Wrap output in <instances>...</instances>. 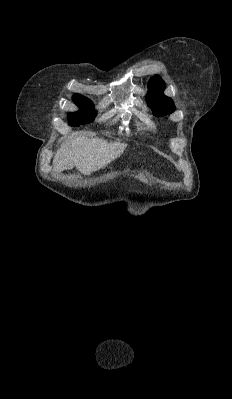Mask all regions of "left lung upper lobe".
<instances>
[{"label":"left lung upper lobe","mask_w":232,"mask_h":399,"mask_svg":"<svg viewBox=\"0 0 232 399\" xmlns=\"http://www.w3.org/2000/svg\"><path fill=\"white\" fill-rule=\"evenodd\" d=\"M165 82L159 76L152 77L148 83L147 104L156 116H164L175 111L174 102L163 94Z\"/></svg>","instance_id":"obj_1"}]
</instances>
